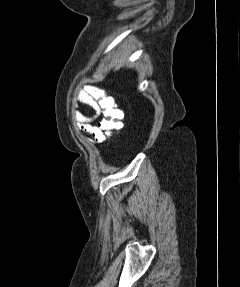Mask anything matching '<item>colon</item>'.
Wrapping results in <instances>:
<instances>
[{"mask_svg":"<svg viewBox=\"0 0 240 287\" xmlns=\"http://www.w3.org/2000/svg\"><path fill=\"white\" fill-rule=\"evenodd\" d=\"M103 118L99 124L105 137H111L122 128V112L114 105L112 98L98 92L93 93Z\"/></svg>","mask_w":240,"mask_h":287,"instance_id":"5ec220e1","label":"colon"}]
</instances>
